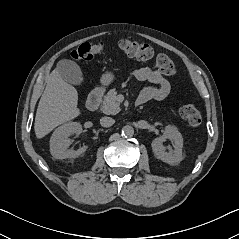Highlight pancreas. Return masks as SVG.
<instances>
[{"mask_svg": "<svg viewBox=\"0 0 239 239\" xmlns=\"http://www.w3.org/2000/svg\"><path fill=\"white\" fill-rule=\"evenodd\" d=\"M101 111L108 115H115L120 112V103L117 101V92L112 89L104 96Z\"/></svg>", "mask_w": 239, "mask_h": 239, "instance_id": "pancreas-1", "label": "pancreas"}]
</instances>
